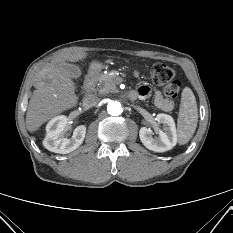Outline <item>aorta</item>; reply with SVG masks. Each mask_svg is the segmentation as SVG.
I'll use <instances>...</instances> for the list:
<instances>
[{
  "label": "aorta",
  "mask_w": 233,
  "mask_h": 233,
  "mask_svg": "<svg viewBox=\"0 0 233 233\" xmlns=\"http://www.w3.org/2000/svg\"><path fill=\"white\" fill-rule=\"evenodd\" d=\"M107 111L112 116H118L122 114L123 107L120 102L118 101H111L107 105Z\"/></svg>",
  "instance_id": "1"
}]
</instances>
